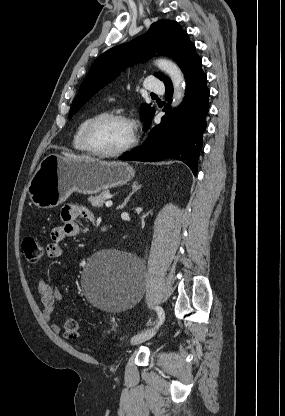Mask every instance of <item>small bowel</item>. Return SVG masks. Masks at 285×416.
Here are the masks:
<instances>
[{
    "label": "small bowel",
    "instance_id": "obj_1",
    "mask_svg": "<svg viewBox=\"0 0 285 416\" xmlns=\"http://www.w3.org/2000/svg\"><path fill=\"white\" fill-rule=\"evenodd\" d=\"M78 219H86L94 223L97 222L89 209L81 206H65L61 210L62 224L51 230V242L46 247L48 257H60L62 254L60 243L68 237H75L80 234L81 229L77 224ZM38 293L43 306L44 319L49 323L55 334H60L61 327L53 320L54 310L62 299L60 290L45 281H40L38 283Z\"/></svg>",
    "mask_w": 285,
    "mask_h": 416
}]
</instances>
